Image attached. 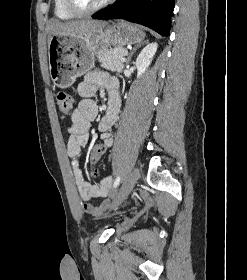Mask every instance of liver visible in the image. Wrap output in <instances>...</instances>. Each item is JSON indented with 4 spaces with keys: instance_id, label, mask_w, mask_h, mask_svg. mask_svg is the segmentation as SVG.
Returning a JSON list of instances; mask_svg holds the SVG:
<instances>
[{
    "instance_id": "1",
    "label": "liver",
    "mask_w": 247,
    "mask_h": 280,
    "mask_svg": "<svg viewBox=\"0 0 247 280\" xmlns=\"http://www.w3.org/2000/svg\"><path fill=\"white\" fill-rule=\"evenodd\" d=\"M105 21L84 19L78 21H54L48 27V44L53 35L83 36L105 27Z\"/></svg>"
}]
</instances>
